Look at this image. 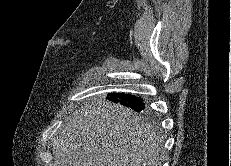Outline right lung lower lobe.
<instances>
[{
	"label": "right lung lower lobe",
	"instance_id": "1",
	"mask_svg": "<svg viewBox=\"0 0 231 166\" xmlns=\"http://www.w3.org/2000/svg\"><path fill=\"white\" fill-rule=\"evenodd\" d=\"M107 99L116 103H121L122 105L130 107L137 112L145 109L143 99L131 94L109 93Z\"/></svg>",
	"mask_w": 231,
	"mask_h": 166
}]
</instances>
